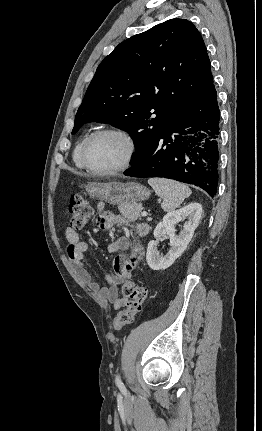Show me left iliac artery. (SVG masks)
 Listing matches in <instances>:
<instances>
[{"mask_svg":"<svg viewBox=\"0 0 262 431\" xmlns=\"http://www.w3.org/2000/svg\"><path fill=\"white\" fill-rule=\"evenodd\" d=\"M115 382L119 387L123 388V383L121 382V378L119 374L116 376Z\"/></svg>","mask_w":262,"mask_h":431,"instance_id":"left-iliac-artery-1","label":"left iliac artery"}]
</instances>
